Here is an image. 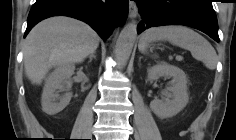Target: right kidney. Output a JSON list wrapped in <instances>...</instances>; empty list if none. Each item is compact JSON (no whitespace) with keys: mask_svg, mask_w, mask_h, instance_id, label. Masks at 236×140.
Instances as JSON below:
<instances>
[{"mask_svg":"<svg viewBox=\"0 0 236 140\" xmlns=\"http://www.w3.org/2000/svg\"><path fill=\"white\" fill-rule=\"evenodd\" d=\"M75 70L74 65L58 66L46 79L42 93V110L48 115H55L62 111L70 102L72 94L67 91L71 88V76ZM60 95V92H65Z\"/></svg>","mask_w":236,"mask_h":140,"instance_id":"right-kidney-1","label":"right kidney"}]
</instances>
